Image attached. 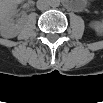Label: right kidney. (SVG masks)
Instances as JSON below:
<instances>
[{"instance_id": "obj_1", "label": "right kidney", "mask_w": 103, "mask_h": 103, "mask_svg": "<svg viewBox=\"0 0 103 103\" xmlns=\"http://www.w3.org/2000/svg\"><path fill=\"white\" fill-rule=\"evenodd\" d=\"M19 1H3L0 7V34L5 38L17 36L20 30L21 20L14 22L12 16L16 13Z\"/></svg>"}]
</instances>
